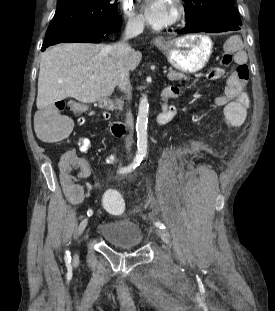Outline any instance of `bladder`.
Here are the masks:
<instances>
[{"mask_svg":"<svg viewBox=\"0 0 275 311\" xmlns=\"http://www.w3.org/2000/svg\"><path fill=\"white\" fill-rule=\"evenodd\" d=\"M97 232L108 244L118 249H133L143 241L141 227L129 216L102 222Z\"/></svg>","mask_w":275,"mask_h":311,"instance_id":"obj_1","label":"bladder"}]
</instances>
